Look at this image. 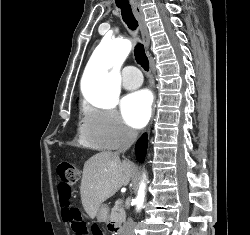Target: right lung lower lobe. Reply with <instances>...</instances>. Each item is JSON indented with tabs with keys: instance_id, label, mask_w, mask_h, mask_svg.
Listing matches in <instances>:
<instances>
[{
	"instance_id": "1",
	"label": "right lung lower lobe",
	"mask_w": 250,
	"mask_h": 235,
	"mask_svg": "<svg viewBox=\"0 0 250 235\" xmlns=\"http://www.w3.org/2000/svg\"><path fill=\"white\" fill-rule=\"evenodd\" d=\"M147 135L144 134L136 143V156L139 162H143L147 149Z\"/></svg>"
}]
</instances>
